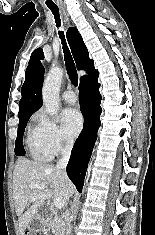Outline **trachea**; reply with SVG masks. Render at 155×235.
Returning a JSON list of instances; mask_svg holds the SVG:
<instances>
[{
	"label": "trachea",
	"mask_w": 155,
	"mask_h": 235,
	"mask_svg": "<svg viewBox=\"0 0 155 235\" xmlns=\"http://www.w3.org/2000/svg\"><path fill=\"white\" fill-rule=\"evenodd\" d=\"M49 9L51 10V12L54 15L56 26L60 27L61 21H60L59 9L54 8V7H49ZM59 37H60V39L62 41V45H63L64 58H65L66 69H67V73L69 75V79L74 86H77L78 85L77 70H76L73 58L71 56V53L66 45L63 31H59Z\"/></svg>",
	"instance_id": "1"
}]
</instances>
